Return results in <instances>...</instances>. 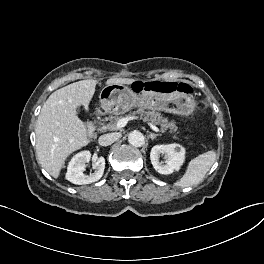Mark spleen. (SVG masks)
Returning <instances> with one entry per match:
<instances>
[{"label":"spleen","instance_id":"1","mask_svg":"<svg viewBox=\"0 0 264 264\" xmlns=\"http://www.w3.org/2000/svg\"><path fill=\"white\" fill-rule=\"evenodd\" d=\"M216 160L214 150L207 151L192 159L187 166L184 175L175 182V186L189 187L199 184L210 170Z\"/></svg>","mask_w":264,"mask_h":264}]
</instances>
